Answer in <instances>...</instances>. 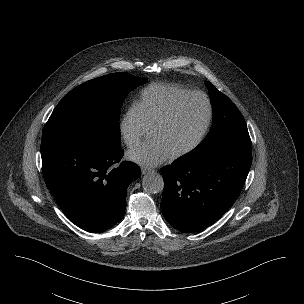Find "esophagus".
Instances as JSON below:
<instances>
[{
    "instance_id": "1",
    "label": "esophagus",
    "mask_w": 304,
    "mask_h": 304,
    "mask_svg": "<svg viewBox=\"0 0 304 304\" xmlns=\"http://www.w3.org/2000/svg\"><path fill=\"white\" fill-rule=\"evenodd\" d=\"M153 171V169H151V168H147V167H142L141 168V173L143 174V175H145V174H147V173H150V172H152Z\"/></svg>"
}]
</instances>
